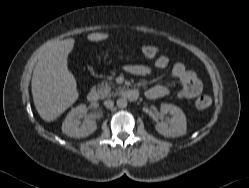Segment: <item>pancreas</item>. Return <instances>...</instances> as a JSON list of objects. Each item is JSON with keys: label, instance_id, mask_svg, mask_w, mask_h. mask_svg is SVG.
<instances>
[{"label": "pancreas", "instance_id": "cf45deb5", "mask_svg": "<svg viewBox=\"0 0 249 188\" xmlns=\"http://www.w3.org/2000/svg\"><path fill=\"white\" fill-rule=\"evenodd\" d=\"M99 93L101 98L110 97L113 95L112 93V85L108 83H101L99 85Z\"/></svg>", "mask_w": 249, "mask_h": 188}]
</instances>
